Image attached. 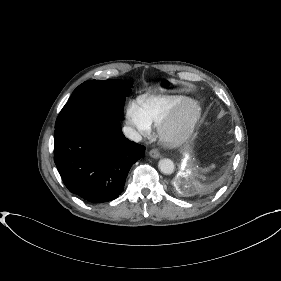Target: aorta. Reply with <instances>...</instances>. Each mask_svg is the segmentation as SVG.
Wrapping results in <instances>:
<instances>
[{
	"label": "aorta",
	"instance_id": "aorta-1",
	"mask_svg": "<svg viewBox=\"0 0 281 281\" xmlns=\"http://www.w3.org/2000/svg\"><path fill=\"white\" fill-rule=\"evenodd\" d=\"M158 167L163 174L169 175L174 172L175 165L171 159L164 158L158 163Z\"/></svg>",
	"mask_w": 281,
	"mask_h": 281
}]
</instances>
